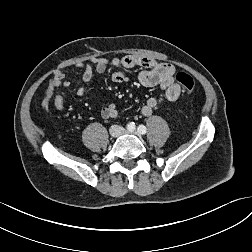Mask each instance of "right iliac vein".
<instances>
[{
  "label": "right iliac vein",
  "mask_w": 252,
  "mask_h": 252,
  "mask_svg": "<svg viewBox=\"0 0 252 252\" xmlns=\"http://www.w3.org/2000/svg\"><path fill=\"white\" fill-rule=\"evenodd\" d=\"M121 128L118 127V126H113L111 129H110V135L112 137H117L118 135H120L121 133Z\"/></svg>",
  "instance_id": "1"
}]
</instances>
